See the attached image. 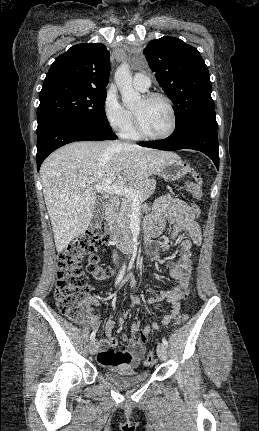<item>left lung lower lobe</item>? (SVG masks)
<instances>
[{"mask_svg":"<svg viewBox=\"0 0 259 431\" xmlns=\"http://www.w3.org/2000/svg\"><path fill=\"white\" fill-rule=\"evenodd\" d=\"M218 124L192 122L178 129L166 139L141 143L140 146L160 150L193 149L206 154L219 169Z\"/></svg>","mask_w":259,"mask_h":431,"instance_id":"1","label":"left lung lower lobe"}]
</instances>
